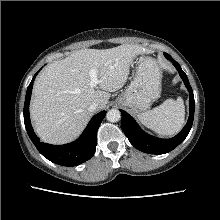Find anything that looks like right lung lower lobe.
Instances as JSON below:
<instances>
[{
	"label": "right lung lower lobe",
	"mask_w": 220,
	"mask_h": 220,
	"mask_svg": "<svg viewBox=\"0 0 220 220\" xmlns=\"http://www.w3.org/2000/svg\"><path fill=\"white\" fill-rule=\"evenodd\" d=\"M38 72L34 75L30 85L27 88L24 104V123L31 141L45 158L62 166H76L89 160L95 153L97 144V130L105 117L106 111H102L95 115L79 139L72 143L58 146L41 143L40 139L33 131L29 116V103L33 81L35 80Z\"/></svg>",
	"instance_id": "1"
}]
</instances>
